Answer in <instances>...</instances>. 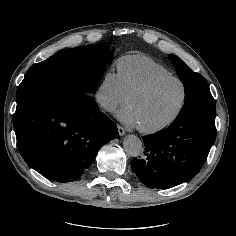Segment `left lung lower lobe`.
Returning <instances> with one entry per match:
<instances>
[{"label": "left lung lower lobe", "mask_w": 236, "mask_h": 236, "mask_svg": "<svg viewBox=\"0 0 236 236\" xmlns=\"http://www.w3.org/2000/svg\"><path fill=\"white\" fill-rule=\"evenodd\" d=\"M215 114L189 113L176 117L162 131L143 137L145 151L131 167L152 188H169L193 178L215 142Z\"/></svg>", "instance_id": "0a47b994"}]
</instances>
